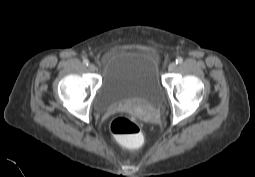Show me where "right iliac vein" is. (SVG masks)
Segmentation results:
<instances>
[{
    "label": "right iliac vein",
    "instance_id": "obj_1",
    "mask_svg": "<svg viewBox=\"0 0 255 177\" xmlns=\"http://www.w3.org/2000/svg\"><path fill=\"white\" fill-rule=\"evenodd\" d=\"M88 69H89V71L94 72L96 70V67L94 64H89Z\"/></svg>",
    "mask_w": 255,
    "mask_h": 177
}]
</instances>
